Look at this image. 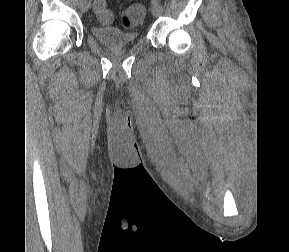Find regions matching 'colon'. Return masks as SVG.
Returning a JSON list of instances; mask_svg holds the SVG:
<instances>
[{
	"label": "colon",
	"instance_id": "5ec220e1",
	"mask_svg": "<svg viewBox=\"0 0 289 252\" xmlns=\"http://www.w3.org/2000/svg\"><path fill=\"white\" fill-rule=\"evenodd\" d=\"M93 8L101 22L108 24L114 20L112 12L106 6V0H94ZM144 15V7L140 4H133L124 10L119 22L125 28H132L141 23Z\"/></svg>",
	"mask_w": 289,
	"mask_h": 252
}]
</instances>
